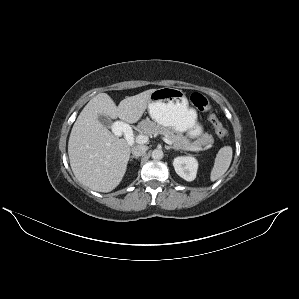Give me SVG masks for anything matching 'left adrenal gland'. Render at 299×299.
Segmentation results:
<instances>
[{"mask_svg": "<svg viewBox=\"0 0 299 299\" xmlns=\"http://www.w3.org/2000/svg\"><path fill=\"white\" fill-rule=\"evenodd\" d=\"M165 148L167 149V150H169V149H174V150H179V149H177V148H175V147H172V146H165Z\"/></svg>", "mask_w": 299, "mask_h": 299, "instance_id": "obj_1", "label": "left adrenal gland"}]
</instances>
